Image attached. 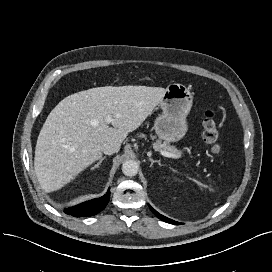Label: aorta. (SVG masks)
<instances>
[{
  "label": "aorta",
  "mask_w": 272,
  "mask_h": 272,
  "mask_svg": "<svg viewBox=\"0 0 272 272\" xmlns=\"http://www.w3.org/2000/svg\"><path fill=\"white\" fill-rule=\"evenodd\" d=\"M139 165L134 160H126L122 164V172L124 175L132 177L138 173Z\"/></svg>",
  "instance_id": "762f6f07"
}]
</instances>
